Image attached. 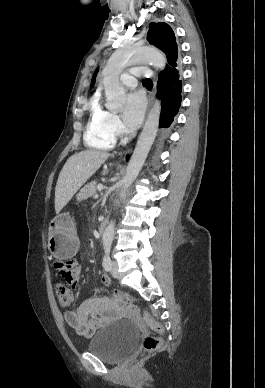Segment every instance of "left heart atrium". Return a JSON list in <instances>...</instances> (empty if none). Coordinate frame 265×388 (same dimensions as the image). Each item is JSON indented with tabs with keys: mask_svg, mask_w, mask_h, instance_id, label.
Returning <instances> with one entry per match:
<instances>
[{
	"mask_svg": "<svg viewBox=\"0 0 265 388\" xmlns=\"http://www.w3.org/2000/svg\"><path fill=\"white\" fill-rule=\"evenodd\" d=\"M123 120L130 126H137L145 111V99L141 92H131L124 100Z\"/></svg>",
	"mask_w": 265,
	"mask_h": 388,
	"instance_id": "39dd6f15",
	"label": "left heart atrium"
}]
</instances>
